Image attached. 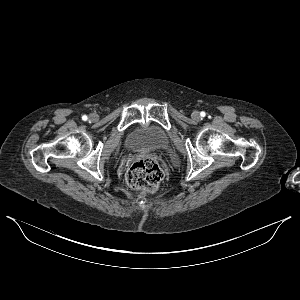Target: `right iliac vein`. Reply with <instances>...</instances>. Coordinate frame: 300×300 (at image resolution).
<instances>
[{
	"label": "right iliac vein",
	"mask_w": 300,
	"mask_h": 300,
	"mask_svg": "<svg viewBox=\"0 0 300 300\" xmlns=\"http://www.w3.org/2000/svg\"><path fill=\"white\" fill-rule=\"evenodd\" d=\"M89 119L91 121H97L98 120V115L96 113H92V114H90Z\"/></svg>",
	"instance_id": "right-iliac-vein-1"
}]
</instances>
